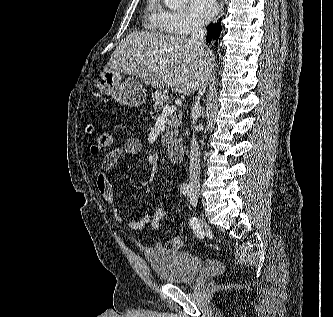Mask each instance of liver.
I'll return each mask as SVG.
<instances>
[{
  "mask_svg": "<svg viewBox=\"0 0 333 317\" xmlns=\"http://www.w3.org/2000/svg\"><path fill=\"white\" fill-rule=\"evenodd\" d=\"M214 55L191 39L173 34L134 31L114 50L106 72H125L155 88L190 95L202 78H211Z\"/></svg>",
  "mask_w": 333,
  "mask_h": 317,
  "instance_id": "6515ba94",
  "label": "liver"
}]
</instances>
